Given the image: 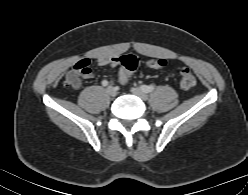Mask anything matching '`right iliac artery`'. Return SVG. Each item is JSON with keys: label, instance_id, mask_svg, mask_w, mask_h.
I'll list each match as a JSON object with an SVG mask.
<instances>
[{"label": "right iliac artery", "instance_id": "obj_1", "mask_svg": "<svg viewBox=\"0 0 248 195\" xmlns=\"http://www.w3.org/2000/svg\"><path fill=\"white\" fill-rule=\"evenodd\" d=\"M102 85H103V86H107V85H108V81L103 80V81H102Z\"/></svg>", "mask_w": 248, "mask_h": 195}]
</instances>
